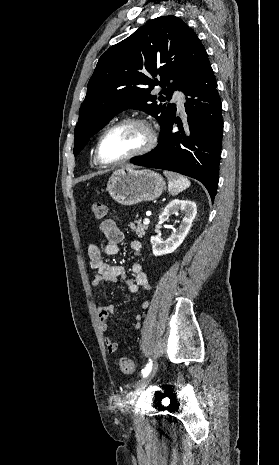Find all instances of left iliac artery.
Listing matches in <instances>:
<instances>
[{
	"mask_svg": "<svg viewBox=\"0 0 279 465\" xmlns=\"http://www.w3.org/2000/svg\"><path fill=\"white\" fill-rule=\"evenodd\" d=\"M152 369V361L150 360V362L147 364L146 368L142 371V376L145 377L148 375V373L151 371Z\"/></svg>",
	"mask_w": 279,
	"mask_h": 465,
	"instance_id": "left-iliac-artery-1",
	"label": "left iliac artery"
}]
</instances>
